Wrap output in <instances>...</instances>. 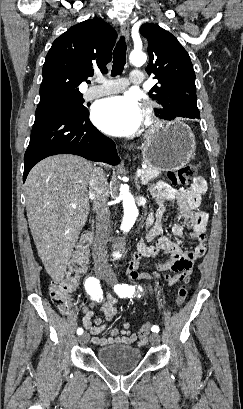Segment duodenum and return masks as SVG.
Here are the masks:
<instances>
[{"instance_id":"obj_1","label":"duodenum","mask_w":243,"mask_h":409,"mask_svg":"<svg viewBox=\"0 0 243 409\" xmlns=\"http://www.w3.org/2000/svg\"><path fill=\"white\" fill-rule=\"evenodd\" d=\"M148 224H151L152 223V217H148V222H147Z\"/></svg>"}]
</instances>
